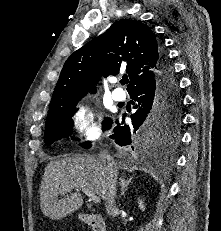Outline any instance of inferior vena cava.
I'll return each mask as SVG.
<instances>
[{
  "mask_svg": "<svg viewBox=\"0 0 221 231\" xmlns=\"http://www.w3.org/2000/svg\"><path fill=\"white\" fill-rule=\"evenodd\" d=\"M97 159L106 173L107 193L105 206L107 214L111 215L116 209L115 197L117 191L118 170L113 157L108 153L107 150H101Z\"/></svg>",
  "mask_w": 221,
  "mask_h": 231,
  "instance_id": "602c4592",
  "label": "inferior vena cava"
}]
</instances>
